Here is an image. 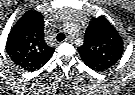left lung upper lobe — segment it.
Returning a JSON list of instances; mask_svg holds the SVG:
<instances>
[{
	"label": "left lung upper lobe",
	"instance_id": "obj_1",
	"mask_svg": "<svg viewBox=\"0 0 135 95\" xmlns=\"http://www.w3.org/2000/svg\"><path fill=\"white\" fill-rule=\"evenodd\" d=\"M78 51L88 67L95 71H104L121 59L124 45L116 29L100 16L90 21L84 44Z\"/></svg>",
	"mask_w": 135,
	"mask_h": 95
}]
</instances>
